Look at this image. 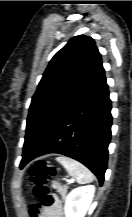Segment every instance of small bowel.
<instances>
[{"label": "small bowel", "mask_w": 132, "mask_h": 217, "mask_svg": "<svg viewBox=\"0 0 132 217\" xmlns=\"http://www.w3.org/2000/svg\"><path fill=\"white\" fill-rule=\"evenodd\" d=\"M58 188L61 193L64 192L62 187ZM38 217H64L61 200L56 199L52 205L40 208Z\"/></svg>", "instance_id": "1"}]
</instances>
